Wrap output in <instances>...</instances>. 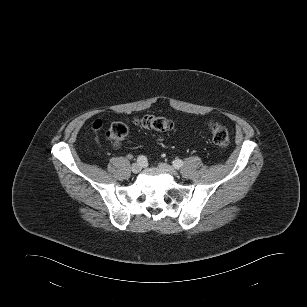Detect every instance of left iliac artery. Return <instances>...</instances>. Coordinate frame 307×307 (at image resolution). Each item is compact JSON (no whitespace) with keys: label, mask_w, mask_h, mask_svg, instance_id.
<instances>
[{"label":"left iliac artery","mask_w":307,"mask_h":307,"mask_svg":"<svg viewBox=\"0 0 307 307\" xmlns=\"http://www.w3.org/2000/svg\"><path fill=\"white\" fill-rule=\"evenodd\" d=\"M173 166H174L176 169H179L180 167L183 166V161L180 160V159L174 160V161H173Z\"/></svg>","instance_id":"obj_1"}]
</instances>
